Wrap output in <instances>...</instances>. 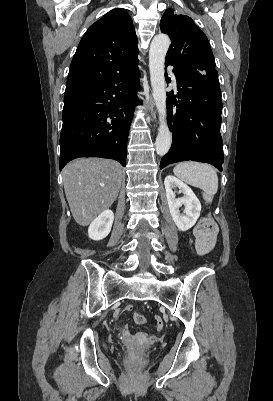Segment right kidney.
I'll return each instance as SVG.
<instances>
[{"label": "right kidney", "instance_id": "1", "mask_svg": "<svg viewBox=\"0 0 273 401\" xmlns=\"http://www.w3.org/2000/svg\"><path fill=\"white\" fill-rule=\"evenodd\" d=\"M113 221L114 213H112L110 209H108V211H103L97 219L92 221L88 229L90 239H93V241H101V239H105L111 231Z\"/></svg>", "mask_w": 273, "mask_h": 401}]
</instances>
